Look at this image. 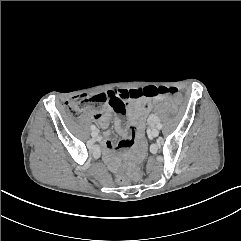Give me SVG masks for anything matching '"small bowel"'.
<instances>
[{"mask_svg": "<svg viewBox=\"0 0 241 241\" xmlns=\"http://www.w3.org/2000/svg\"><path fill=\"white\" fill-rule=\"evenodd\" d=\"M138 95L143 100H139L138 97L130 99L132 101L129 103L128 100L125 101L124 107L126 109L128 106L127 117L130 126L126 128L123 120L120 117L115 119L116 130L123 137V139L116 143L109 139L108 133H106L102 141L104 159L112 168H115L116 165L113 151L115 149L129 148L135 143L138 135V130L136 127L139 129L143 128L144 117L151 109V103L146 101V99H148L151 95L150 90L146 87H143L139 90ZM107 105L108 107H106L102 112H87L88 115H90L103 128H106L109 124L110 110H115L113 106L109 104Z\"/></svg>", "mask_w": 241, "mask_h": 241, "instance_id": "small-bowel-1", "label": "small bowel"}]
</instances>
